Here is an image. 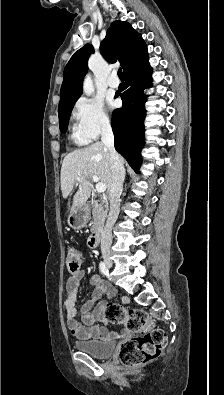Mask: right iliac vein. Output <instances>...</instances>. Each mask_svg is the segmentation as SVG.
Returning a JSON list of instances; mask_svg holds the SVG:
<instances>
[{"label":"right iliac vein","mask_w":224,"mask_h":395,"mask_svg":"<svg viewBox=\"0 0 224 395\" xmlns=\"http://www.w3.org/2000/svg\"><path fill=\"white\" fill-rule=\"evenodd\" d=\"M103 258L108 268H112L113 262L111 260V257L109 255H104Z\"/></svg>","instance_id":"63e3f726"}]
</instances>
